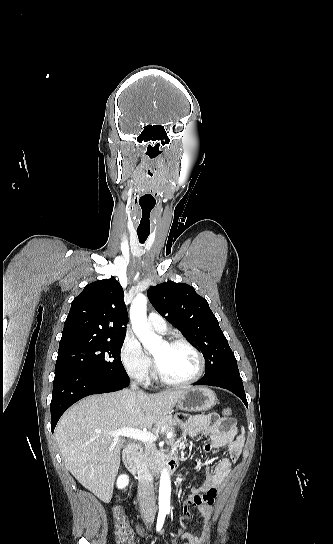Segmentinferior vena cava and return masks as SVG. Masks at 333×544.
<instances>
[{
  "label": "inferior vena cava",
  "mask_w": 333,
  "mask_h": 544,
  "mask_svg": "<svg viewBox=\"0 0 333 544\" xmlns=\"http://www.w3.org/2000/svg\"><path fill=\"white\" fill-rule=\"evenodd\" d=\"M131 388L138 389L136 382L131 383ZM138 474V498L140 511L144 518L152 519L156 514L155 493L147 466L142 462L141 457L135 461Z\"/></svg>",
  "instance_id": "1"
}]
</instances>
